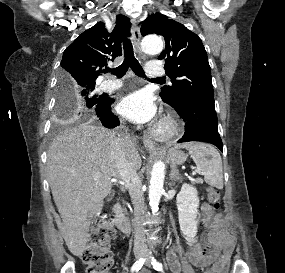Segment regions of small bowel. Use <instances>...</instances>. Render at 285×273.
Masks as SVG:
<instances>
[{
  "mask_svg": "<svg viewBox=\"0 0 285 273\" xmlns=\"http://www.w3.org/2000/svg\"><path fill=\"white\" fill-rule=\"evenodd\" d=\"M203 215V226L207 229V237L204 245L192 244L187 250L189 261L196 267L212 265L215 273H226L232 251L234 239L226 233L228 224L219 214H215L208 203H202L200 207ZM179 246H175L168 255V262L172 273H181V264L177 253ZM141 273H149L143 270Z\"/></svg>",
  "mask_w": 285,
  "mask_h": 273,
  "instance_id": "obj_1",
  "label": "small bowel"
}]
</instances>
